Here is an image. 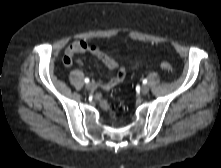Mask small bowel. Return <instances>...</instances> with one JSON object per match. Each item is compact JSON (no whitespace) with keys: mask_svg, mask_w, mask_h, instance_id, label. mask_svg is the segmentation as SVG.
<instances>
[{"mask_svg":"<svg viewBox=\"0 0 221 168\" xmlns=\"http://www.w3.org/2000/svg\"><path fill=\"white\" fill-rule=\"evenodd\" d=\"M90 52L95 55L101 62L105 64L109 71H115V76L110 80L98 79L97 85L104 90H109L120 83L126 76V71L119 67L117 60L110 54L105 53L96 45H90L82 40L73 41L66 49L63 62L70 66L73 63L74 57L80 52ZM82 63V60H78Z\"/></svg>","mask_w":221,"mask_h":168,"instance_id":"1","label":"small bowel"}]
</instances>
